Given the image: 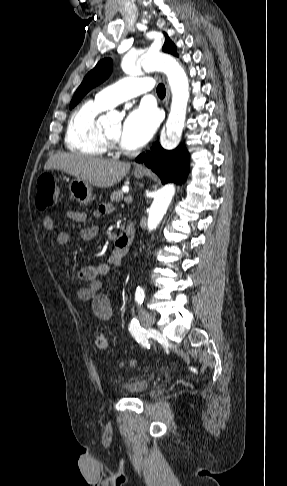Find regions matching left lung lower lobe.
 <instances>
[{
    "mask_svg": "<svg viewBox=\"0 0 287 486\" xmlns=\"http://www.w3.org/2000/svg\"><path fill=\"white\" fill-rule=\"evenodd\" d=\"M136 161L144 162L160 177L163 184L173 181L182 183L189 171V153L184 146L167 151L156 142L150 151L139 155Z\"/></svg>",
    "mask_w": 287,
    "mask_h": 486,
    "instance_id": "1",
    "label": "left lung lower lobe"
}]
</instances>
